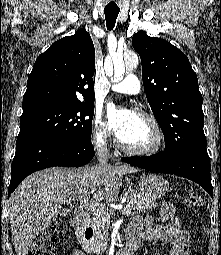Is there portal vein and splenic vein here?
Instances as JSON below:
<instances>
[{
    "instance_id": "1",
    "label": "portal vein and splenic vein",
    "mask_w": 221,
    "mask_h": 255,
    "mask_svg": "<svg viewBox=\"0 0 221 255\" xmlns=\"http://www.w3.org/2000/svg\"><path fill=\"white\" fill-rule=\"evenodd\" d=\"M80 206L95 211L97 213L107 211V209L103 205L94 202H89L87 199L81 200ZM131 207L132 206L130 204L125 205L123 208V214L128 213L131 210Z\"/></svg>"
}]
</instances>
